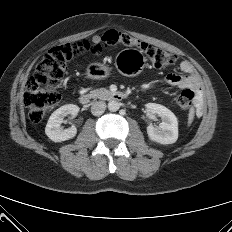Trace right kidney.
<instances>
[{
	"mask_svg": "<svg viewBox=\"0 0 232 232\" xmlns=\"http://www.w3.org/2000/svg\"><path fill=\"white\" fill-rule=\"evenodd\" d=\"M79 112V107L74 104H67L61 106L56 111H54L45 128V133L54 142H62L72 139L77 134V129L73 125L67 129H64L61 124L64 122V117L71 114L72 116H77Z\"/></svg>",
	"mask_w": 232,
	"mask_h": 232,
	"instance_id": "ca27d5eb",
	"label": "right kidney"
}]
</instances>
